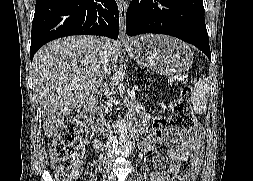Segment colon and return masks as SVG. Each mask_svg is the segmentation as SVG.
<instances>
[{
  "label": "colon",
  "mask_w": 253,
  "mask_h": 181,
  "mask_svg": "<svg viewBox=\"0 0 253 181\" xmlns=\"http://www.w3.org/2000/svg\"><path fill=\"white\" fill-rule=\"evenodd\" d=\"M193 89L182 88L175 100L171 114V124L182 135L189 134L196 125V118L191 109ZM87 133L80 119H68L59 129L51 147V158L59 181H74L80 171ZM172 181H182L180 174L174 175Z\"/></svg>",
  "instance_id": "obj_1"
}]
</instances>
